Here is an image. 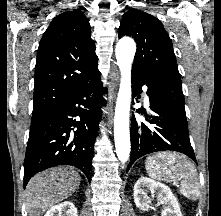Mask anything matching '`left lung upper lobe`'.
<instances>
[{"instance_id":"5c2ea615","label":"left lung upper lobe","mask_w":221,"mask_h":216,"mask_svg":"<svg viewBox=\"0 0 221 216\" xmlns=\"http://www.w3.org/2000/svg\"><path fill=\"white\" fill-rule=\"evenodd\" d=\"M118 33L119 38L131 36L137 43L133 69L140 70L168 104L186 117L181 76L172 42L162 23L146 12L130 9L123 15Z\"/></svg>"}]
</instances>
